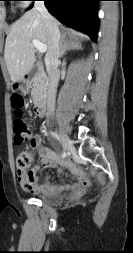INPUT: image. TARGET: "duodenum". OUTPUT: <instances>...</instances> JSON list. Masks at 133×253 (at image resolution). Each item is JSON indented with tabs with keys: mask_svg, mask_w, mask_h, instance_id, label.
Masks as SVG:
<instances>
[{
	"mask_svg": "<svg viewBox=\"0 0 133 253\" xmlns=\"http://www.w3.org/2000/svg\"><path fill=\"white\" fill-rule=\"evenodd\" d=\"M32 76L30 73H27L23 77V83L24 85H29L31 83ZM35 114L39 117H43L46 114L47 111V100L43 97L39 98L34 106Z\"/></svg>",
	"mask_w": 133,
	"mask_h": 253,
	"instance_id": "1",
	"label": "duodenum"
}]
</instances>
